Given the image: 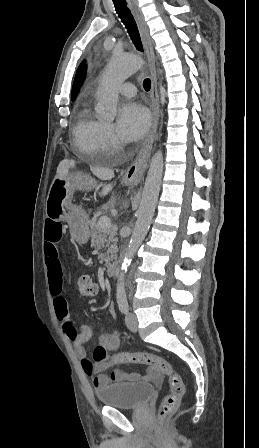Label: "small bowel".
I'll return each mask as SVG.
<instances>
[{"instance_id":"c3829d8e","label":"small bowel","mask_w":259,"mask_h":448,"mask_svg":"<svg viewBox=\"0 0 259 448\" xmlns=\"http://www.w3.org/2000/svg\"><path fill=\"white\" fill-rule=\"evenodd\" d=\"M62 230L61 223L54 220L46 221L44 227L45 265L48 273L50 292L53 296V306L56 317L61 324L62 330L73 342L75 353L81 360L83 370L92 378L93 385L97 389H101L112 382H139L157 378L159 372L154 366H150L146 374L127 373L122 370H114L110 374H105L103 372L113 365L112 362L103 361L94 364L87 358L84 344L92 336L91 327L84 324L81 326L79 331L74 327L68 309V302L63 295L62 268L58 249V244L62 236ZM94 302L95 299L90 300L89 305H92ZM110 313L113 317L116 316L113 308L110 309ZM100 345L107 351L117 350L120 346L119 334L115 332L113 334L104 335L100 340Z\"/></svg>"}]
</instances>
